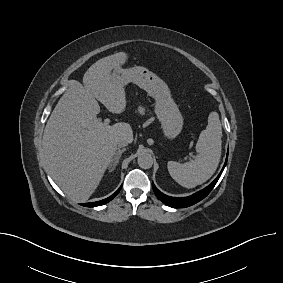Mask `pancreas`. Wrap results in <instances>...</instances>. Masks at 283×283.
I'll return each instance as SVG.
<instances>
[{"label":"pancreas","mask_w":283,"mask_h":283,"mask_svg":"<svg viewBox=\"0 0 283 283\" xmlns=\"http://www.w3.org/2000/svg\"><path fill=\"white\" fill-rule=\"evenodd\" d=\"M137 111L140 115H145V113H146V109L142 106H139Z\"/></svg>","instance_id":"1"}]
</instances>
